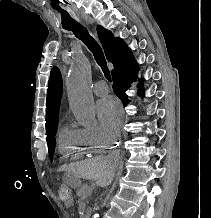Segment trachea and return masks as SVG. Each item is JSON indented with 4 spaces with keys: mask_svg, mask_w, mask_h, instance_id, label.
Returning <instances> with one entry per match:
<instances>
[{
    "mask_svg": "<svg viewBox=\"0 0 211 218\" xmlns=\"http://www.w3.org/2000/svg\"><path fill=\"white\" fill-rule=\"evenodd\" d=\"M63 28H65V30H69L70 32H73L75 37L79 38V40H81L83 43H85V45H87L89 50L93 53L96 62L101 67L105 78L109 82H111L110 71L107 66V62L104 57L103 51L100 45H98V43L94 40V38L89 35L87 29L80 24L67 26Z\"/></svg>",
    "mask_w": 211,
    "mask_h": 218,
    "instance_id": "obj_1",
    "label": "trachea"
}]
</instances>
